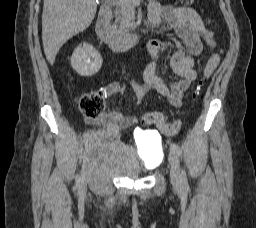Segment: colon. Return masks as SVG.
Segmentation results:
<instances>
[{"instance_id":"obj_1","label":"colon","mask_w":256,"mask_h":228,"mask_svg":"<svg viewBox=\"0 0 256 228\" xmlns=\"http://www.w3.org/2000/svg\"><path fill=\"white\" fill-rule=\"evenodd\" d=\"M194 0H181L183 4L189 5ZM207 42L212 47L214 45V40L211 33L207 32ZM220 62L219 54H213L210 56L208 62L203 68V77L198 87L195 90V95L201 92L202 86L207 81L211 75L216 70ZM105 94L103 91H95L90 93H85L79 99V109L81 113L88 119H95L101 116L105 107ZM143 123L145 125H155V126H169L170 123L166 121L164 115L161 112H149L143 116Z\"/></svg>"}]
</instances>
